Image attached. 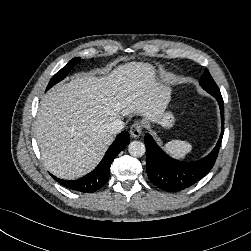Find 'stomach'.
<instances>
[{
    "label": "stomach",
    "instance_id": "0dacf381",
    "mask_svg": "<svg viewBox=\"0 0 251 251\" xmlns=\"http://www.w3.org/2000/svg\"><path fill=\"white\" fill-rule=\"evenodd\" d=\"M175 122V118L171 112H164L162 116L160 117L159 121L157 124L164 128H170L173 126Z\"/></svg>",
    "mask_w": 251,
    "mask_h": 251
}]
</instances>
